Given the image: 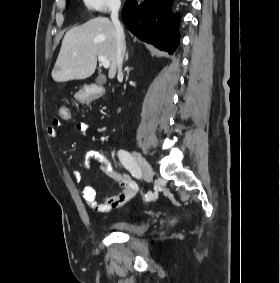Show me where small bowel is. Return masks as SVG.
Wrapping results in <instances>:
<instances>
[{
	"instance_id": "c3829d8e",
	"label": "small bowel",
	"mask_w": 280,
	"mask_h": 283,
	"mask_svg": "<svg viewBox=\"0 0 280 283\" xmlns=\"http://www.w3.org/2000/svg\"><path fill=\"white\" fill-rule=\"evenodd\" d=\"M69 120V119H66ZM61 126L60 119H54L47 128V134L50 138L58 135V129ZM86 122H78L76 130L79 134L85 135L88 131ZM87 159L94 158L102 164V171L105 175L113 179L121 188L120 192L104 198L101 202L97 200L95 188L92 185H85L81 191L82 199L96 212L108 213L115 208H119L133 199L138 192L137 183L127 174L118 171L110 162L107 153L102 149L91 150L86 155ZM89 168V165H86ZM73 179L76 182L82 181V172L80 170L72 171Z\"/></svg>"
}]
</instances>
